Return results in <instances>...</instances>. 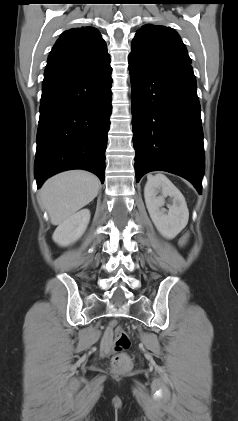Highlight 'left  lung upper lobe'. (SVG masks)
I'll use <instances>...</instances> for the list:
<instances>
[{
  "instance_id": "left-lung-upper-lobe-1",
  "label": "left lung upper lobe",
  "mask_w": 238,
  "mask_h": 421,
  "mask_svg": "<svg viewBox=\"0 0 238 421\" xmlns=\"http://www.w3.org/2000/svg\"><path fill=\"white\" fill-rule=\"evenodd\" d=\"M130 55L148 64L191 62L176 31L161 25L143 26L133 39Z\"/></svg>"
}]
</instances>
